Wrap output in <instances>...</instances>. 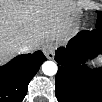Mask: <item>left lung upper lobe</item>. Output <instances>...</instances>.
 Returning a JSON list of instances; mask_svg holds the SVG:
<instances>
[{"mask_svg":"<svg viewBox=\"0 0 102 102\" xmlns=\"http://www.w3.org/2000/svg\"><path fill=\"white\" fill-rule=\"evenodd\" d=\"M101 28H102V13L98 12V19H97L96 29H101Z\"/></svg>","mask_w":102,"mask_h":102,"instance_id":"1","label":"left lung upper lobe"}]
</instances>
